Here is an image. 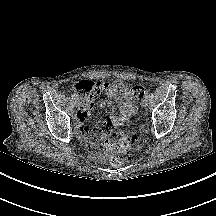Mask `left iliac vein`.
I'll list each match as a JSON object with an SVG mask.
<instances>
[{
  "label": "left iliac vein",
  "instance_id": "4c4485c4",
  "mask_svg": "<svg viewBox=\"0 0 216 216\" xmlns=\"http://www.w3.org/2000/svg\"><path fill=\"white\" fill-rule=\"evenodd\" d=\"M148 103H149L148 98H145V99L142 101L141 105H142L143 107H147V106H148Z\"/></svg>",
  "mask_w": 216,
  "mask_h": 216
}]
</instances>
